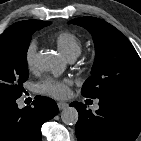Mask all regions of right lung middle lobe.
Here are the masks:
<instances>
[{"label":"right lung middle lobe","mask_w":141,"mask_h":141,"mask_svg":"<svg viewBox=\"0 0 141 141\" xmlns=\"http://www.w3.org/2000/svg\"><path fill=\"white\" fill-rule=\"evenodd\" d=\"M51 22L30 20L0 35V100L17 99L28 79L27 50L32 34Z\"/></svg>","instance_id":"right-lung-middle-lobe-1"}]
</instances>
